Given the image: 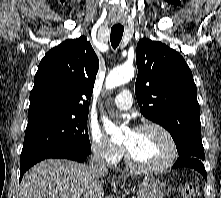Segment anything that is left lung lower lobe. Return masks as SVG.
<instances>
[{"mask_svg":"<svg viewBox=\"0 0 221 198\" xmlns=\"http://www.w3.org/2000/svg\"><path fill=\"white\" fill-rule=\"evenodd\" d=\"M178 167H190L198 172H200L205 180H207V174L203 165V161L195 158V157H186V158H179L176 163L174 164L173 168Z\"/></svg>","mask_w":221,"mask_h":198,"instance_id":"left-lung-lower-lobe-1","label":"left lung lower lobe"}]
</instances>
